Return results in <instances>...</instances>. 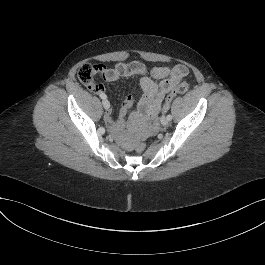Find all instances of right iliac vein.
I'll list each match as a JSON object with an SVG mask.
<instances>
[{"label": "right iliac vein", "instance_id": "obj_1", "mask_svg": "<svg viewBox=\"0 0 265 265\" xmlns=\"http://www.w3.org/2000/svg\"><path fill=\"white\" fill-rule=\"evenodd\" d=\"M102 104H103V107H104L106 110H108V109L110 108V103H109L108 100L104 99V100L102 101Z\"/></svg>", "mask_w": 265, "mask_h": 265}]
</instances>
